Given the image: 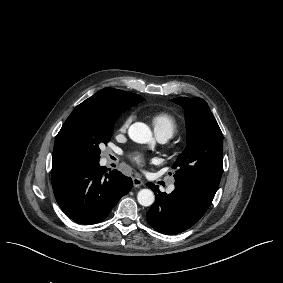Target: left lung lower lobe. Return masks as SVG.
Segmentation results:
<instances>
[{"mask_svg":"<svg viewBox=\"0 0 283 283\" xmlns=\"http://www.w3.org/2000/svg\"><path fill=\"white\" fill-rule=\"evenodd\" d=\"M156 200L147 213V222L158 232L171 235L185 231L204 215L209 203L175 186L172 193H161L158 186L147 183Z\"/></svg>","mask_w":283,"mask_h":283,"instance_id":"0a47b994","label":"left lung lower lobe"}]
</instances>
